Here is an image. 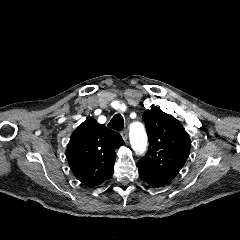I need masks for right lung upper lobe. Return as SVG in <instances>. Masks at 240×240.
I'll use <instances>...</instances> for the list:
<instances>
[{"instance_id": "cb5924a9", "label": "right lung upper lobe", "mask_w": 240, "mask_h": 240, "mask_svg": "<svg viewBox=\"0 0 240 240\" xmlns=\"http://www.w3.org/2000/svg\"><path fill=\"white\" fill-rule=\"evenodd\" d=\"M121 135L87 118L72 133L66 155L75 177L88 187L102 184L112 174Z\"/></svg>"}]
</instances>
